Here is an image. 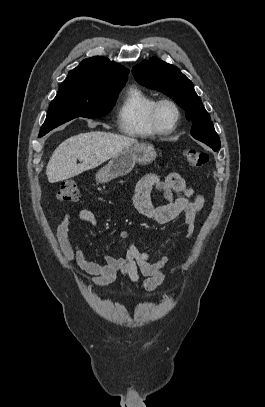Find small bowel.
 <instances>
[{
    "label": "small bowel",
    "instance_id": "obj_1",
    "mask_svg": "<svg viewBox=\"0 0 265 407\" xmlns=\"http://www.w3.org/2000/svg\"><path fill=\"white\" fill-rule=\"evenodd\" d=\"M153 188L161 192L168 203L154 206L151 196ZM133 202L144 217L158 224H166L182 215L185 223L184 238L190 239L195 231L196 220L205 200L203 196L195 194L194 189L189 187L178 173H171L165 179L148 173L137 182ZM75 221L98 228L99 220L93 212L87 209H83L75 215L67 213L60 221L56 232L64 261L75 262L90 276V280L95 286L110 284L115 279L117 272L123 273L135 283L139 282L140 275L145 276L141 286L148 292L162 284L165 279V270L170 263L168 254L153 261L150 253L141 251L136 245L130 243L121 257L103 256L100 262L90 261L71 239L70 231ZM121 235L125 239L129 237L126 231H123Z\"/></svg>",
    "mask_w": 265,
    "mask_h": 407
}]
</instances>
